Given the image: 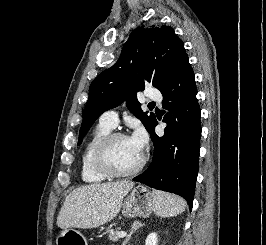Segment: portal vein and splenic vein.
<instances>
[{
  "label": "portal vein and splenic vein",
  "instance_id": "1",
  "mask_svg": "<svg viewBox=\"0 0 266 245\" xmlns=\"http://www.w3.org/2000/svg\"><path fill=\"white\" fill-rule=\"evenodd\" d=\"M127 233H125V231H122V233H118V237H120V239H122V237H126Z\"/></svg>",
  "mask_w": 266,
  "mask_h": 245
}]
</instances>
